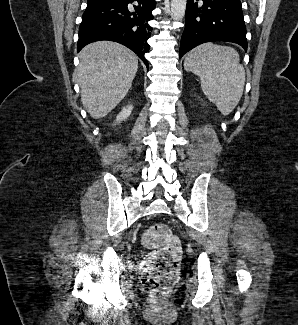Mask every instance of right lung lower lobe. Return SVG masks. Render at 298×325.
<instances>
[{
  "instance_id": "right-lung-lower-lobe-1",
  "label": "right lung lower lobe",
  "mask_w": 298,
  "mask_h": 325,
  "mask_svg": "<svg viewBox=\"0 0 298 325\" xmlns=\"http://www.w3.org/2000/svg\"><path fill=\"white\" fill-rule=\"evenodd\" d=\"M133 1L135 13L130 12L128 4ZM155 0H100L88 2L79 27L78 52L88 43L99 40H110L121 43L145 63L144 57L150 49L147 40L151 36L153 19L152 10Z\"/></svg>"
}]
</instances>
